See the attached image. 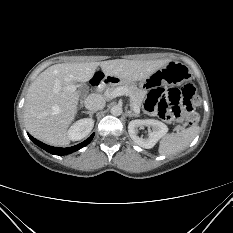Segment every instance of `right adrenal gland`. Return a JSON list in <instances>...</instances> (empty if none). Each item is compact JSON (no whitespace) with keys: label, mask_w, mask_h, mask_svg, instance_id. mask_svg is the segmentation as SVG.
I'll list each match as a JSON object with an SVG mask.
<instances>
[{"label":"right adrenal gland","mask_w":233,"mask_h":233,"mask_svg":"<svg viewBox=\"0 0 233 233\" xmlns=\"http://www.w3.org/2000/svg\"><path fill=\"white\" fill-rule=\"evenodd\" d=\"M83 113L88 114L92 118L93 114L96 112L95 111H83Z\"/></svg>","instance_id":"right-adrenal-gland-1"}]
</instances>
